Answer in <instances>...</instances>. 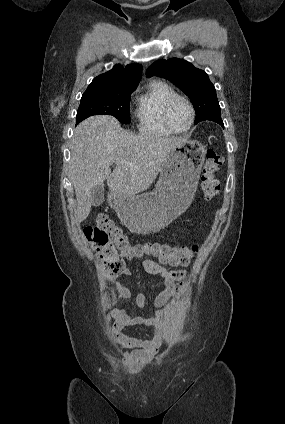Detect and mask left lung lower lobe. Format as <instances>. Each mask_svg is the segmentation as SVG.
<instances>
[{
  "label": "left lung lower lobe",
  "mask_w": 285,
  "mask_h": 424,
  "mask_svg": "<svg viewBox=\"0 0 285 424\" xmlns=\"http://www.w3.org/2000/svg\"><path fill=\"white\" fill-rule=\"evenodd\" d=\"M210 119H211L210 121H214V122L220 124L224 128V124H223V121H222L220 116L212 117Z\"/></svg>",
  "instance_id": "obj_1"
}]
</instances>
